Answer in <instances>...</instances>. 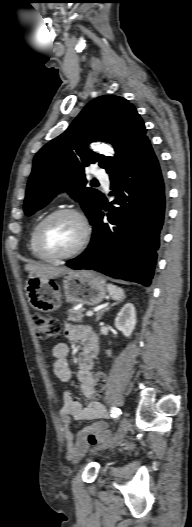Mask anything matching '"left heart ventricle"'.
I'll list each match as a JSON object with an SVG mask.
<instances>
[{"instance_id": "1", "label": "left heart ventricle", "mask_w": 192, "mask_h": 527, "mask_svg": "<svg viewBox=\"0 0 192 527\" xmlns=\"http://www.w3.org/2000/svg\"><path fill=\"white\" fill-rule=\"evenodd\" d=\"M82 236L80 221L72 215H62L55 218L43 233L45 249L55 255H61L73 250Z\"/></svg>"}]
</instances>
